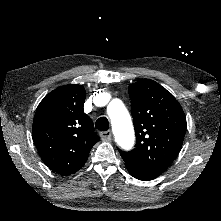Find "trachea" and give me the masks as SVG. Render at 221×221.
Here are the masks:
<instances>
[{
  "label": "trachea",
  "mask_w": 221,
  "mask_h": 221,
  "mask_svg": "<svg viewBox=\"0 0 221 221\" xmlns=\"http://www.w3.org/2000/svg\"><path fill=\"white\" fill-rule=\"evenodd\" d=\"M95 128L99 131H107L109 129V121L106 117H100L95 123Z\"/></svg>",
  "instance_id": "3493384b"
}]
</instances>
